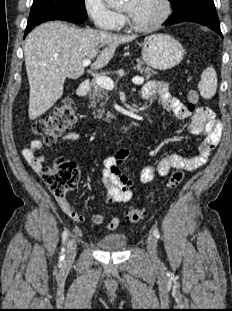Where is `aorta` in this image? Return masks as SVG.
Masks as SVG:
<instances>
[{
  "instance_id": "aorta-1",
  "label": "aorta",
  "mask_w": 232,
  "mask_h": 311,
  "mask_svg": "<svg viewBox=\"0 0 232 311\" xmlns=\"http://www.w3.org/2000/svg\"><path fill=\"white\" fill-rule=\"evenodd\" d=\"M110 6H117L120 4L121 0H105Z\"/></svg>"
}]
</instances>
